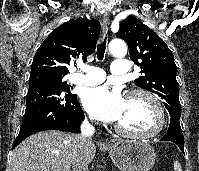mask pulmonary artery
I'll use <instances>...</instances> for the list:
<instances>
[{"label": "pulmonary artery", "instance_id": "obj_1", "mask_svg": "<svg viewBox=\"0 0 199 171\" xmlns=\"http://www.w3.org/2000/svg\"><path fill=\"white\" fill-rule=\"evenodd\" d=\"M112 75L123 76L128 72V62L124 59H117L112 62L111 65ZM105 80V72L100 68L83 65L81 72L72 76L71 82L74 84L92 86L102 83Z\"/></svg>", "mask_w": 199, "mask_h": 171}]
</instances>
